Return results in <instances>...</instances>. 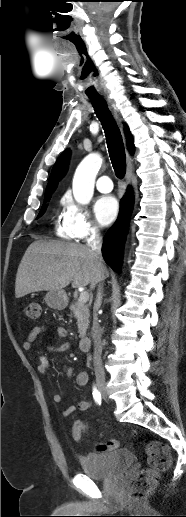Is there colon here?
<instances>
[{"label":"colon","instance_id":"5ec220e1","mask_svg":"<svg viewBox=\"0 0 186 517\" xmlns=\"http://www.w3.org/2000/svg\"><path fill=\"white\" fill-rule=\"evenodd\" d=\"M25 316L32 320H37L41 316V306L37 302H30L25 307ZM81 425L73 428V436L76 440L81 439ZM118 440L109 439L98 445V450L106 451L117 448ZM148 455L149 467L137 473L128 488L130 499H143L156 486L159 474L166 471L171 465V455L169 448L162 442L150 440L145 445Z\"/></svg>","mask_w":186,"mask_h":517}]
</instances>
